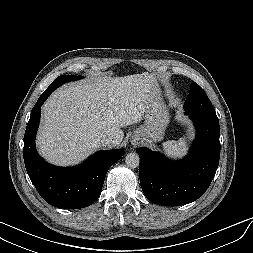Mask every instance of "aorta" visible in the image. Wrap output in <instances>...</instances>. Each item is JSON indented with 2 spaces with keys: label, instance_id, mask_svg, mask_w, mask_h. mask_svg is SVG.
Segmentation results:
<instances>
[{
  "label": "aorta",
  "instance_id": "762f6f07",
  "mask_svg": "<svg viewBox=\"0 0 253 253\" xmlns=\"http://www.w3.org/2000/svg\"><path fill=\"white\" fill-rule=\"evenodd\" d=\"M140 158L135 152L128 153L125 157V163L129 168H137L139 166Z\"/></svg>",
  "mask_w": 253,
  "mask_h": 253
}]
</instances>
